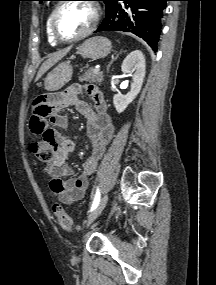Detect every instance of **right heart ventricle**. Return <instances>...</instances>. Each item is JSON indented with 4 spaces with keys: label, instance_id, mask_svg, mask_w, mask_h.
I'll return each mask as SVG.
<instances>
[{
    "label": "right heart ventricle",
    "instance_id": "1",
    "mask_svg": "<svg viewBox=\"0 0 216 285\" xmlns=\"http://www.w3.org/2000/svg\"><path fill=\"white\" fill-rule=\"evenodd\" d=\"M52 12L53 10L49 12L47 19H46V34H47L48 42L54 46V45H57L58 42L52 36L51 29H50V19H51Z\"/></svg>",
    "mask_w": 216,
    "mask_h": 285
}]
</instances>
